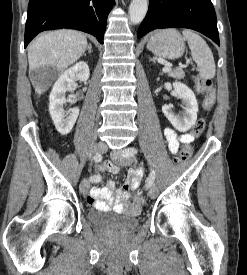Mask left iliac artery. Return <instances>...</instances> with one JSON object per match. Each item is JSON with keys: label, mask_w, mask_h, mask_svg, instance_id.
<instances>
[{"label": "left iliac artery", "mask_w": 247, "mask_h": 275, "mask_svg": "<svg viewBox=\"0 0 247 275\" xmlns=\"http://www.w3.org/2000/svg\"><path fill=\"white\" fill-rule=\"evenodd\" d=\"M137 153V149L136 148H132L129 152H127L125 154L126 157H129V156H133ZM155 178H156V174H155V171L152 170L146 180V184H145V187L146 189H148L149 187H151L155 181Z\"/></svg>", "instance_id": "obj_1"}]
</instances>
